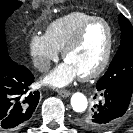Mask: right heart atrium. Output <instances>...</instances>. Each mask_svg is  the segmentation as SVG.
Segmentation results:
<instances>
[{"instance_id":"obj_1","label":"right heart atrium","mask_w":133,"mask_h":133,"mask_svg":"<svg viewBox=\"0 0 133 133\" xmlns=\"http://www.w3.org/2000/svg\"><path fill=\"white\" fill-rule=\"evenodd\" d=\"M29 52L34 66L39 71H46L51 62L58 58V50L51 45L45 35L38 33L30 38Z\"/></svg>"}]
</instances>
